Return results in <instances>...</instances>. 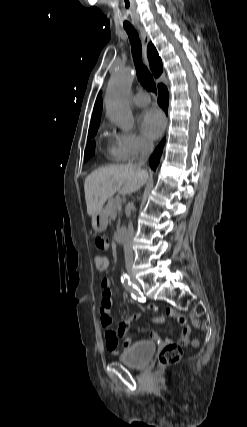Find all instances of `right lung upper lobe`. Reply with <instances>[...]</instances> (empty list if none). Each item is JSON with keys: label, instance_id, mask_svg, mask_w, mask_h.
I'll list each match as a JSON object with an SVG mask.
<instances>
[{"label": "right lung upper lobe", "instance_id": "1", "mask_svg": "<svg viewBox=\"0 0 247 427\" xmlns=\"http://www.w3.org/2000/svg\"><path fill=\"white\" fill-rule=\"evenodd\" d=\"M147 55H148V59L150 62V67L151 70L154 74L155 77H158L162 71V61L155 49V47L153 46L152 43H150L148 45V50H147ZM101 110H102V100H101V93H99L95 105H94V110H93V115H92V119H91V123H90V127H94L99 125L100 123V117H101Z\"/></svg>", "mask_w": 247, "mask_h": 427}]
</instances>
